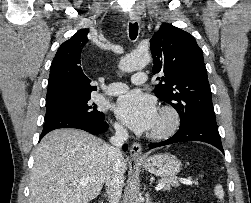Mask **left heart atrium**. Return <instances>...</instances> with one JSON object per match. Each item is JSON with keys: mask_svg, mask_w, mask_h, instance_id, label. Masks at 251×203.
<instances>
[{"mask_svg": "<svg viewBox=\"0 0 251 203\" xmlns=\"http://www.w3.org/2000/svg\"><path fill=\"white\" fill-rule=\"evenodd\" d=\"M116 111L123 122L137 132L152 129L158 117L155 100L140 91H132L120 97Z\"/></svg>", "mask_w": 251, "mask_h": 203, "instance_id": "obj_1", "label": "left heart atrium"}]
</instances>
